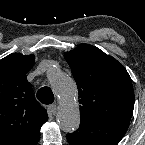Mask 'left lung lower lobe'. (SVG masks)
<instances>
[{
	"label": "left lung lower lobe",
	"mask_w": 145,
	"mask_h": 145,
	"mask_svg": "<svg viewBox=\"0 0 145 145\" xmlns=\"http://www.w3.org/2000/svg\"><path fill=\"white\" fill-rule=\"evenodd\" d=\"M129 123L124 121H84L79 129L67 134L70 145H117Z\"/></svg>",
	"instance_id": "left-lung-lower-lobe-1"
}]
</instances>
